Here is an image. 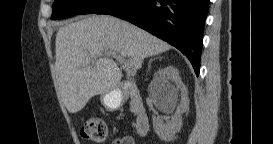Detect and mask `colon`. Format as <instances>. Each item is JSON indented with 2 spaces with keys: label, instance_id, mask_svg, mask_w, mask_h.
<instances>
[{
  "label": "colon",
  "instance_id": "5ec220e1",
  "mask_svg": "<svg viewBox=\"0 0 273 144\" xmlns=\"http://www.w3.org/2000/svg\"><path fill=\"white\" fill-rule=\"evenodd\" d=\"M80 132L86 140L103 143L107 137V126L103 119L92 117L82 124Z\"/></svg>",
  "mask_w": 273,
  "mask_h": 144
}]
</instances>
